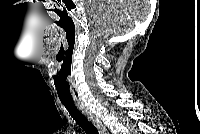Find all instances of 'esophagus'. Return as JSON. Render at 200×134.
<instances>
[{"instance_id":"obj_1","label":"esophagus","mask_w":200,"mask_h":134,"mask_svg":"<svg viewBox=\"0 0 200 134\" xmlns=\"http://www.w3.org/2000/svg\"><path fill=\"white\" fill-rule=\"evenodd\" d=\"M79 110L87 117L89 121L97 128L100 134H108V130L103 124V122L83 103H76Z\"/></svg>"}]
</instances>
